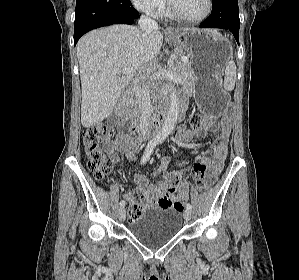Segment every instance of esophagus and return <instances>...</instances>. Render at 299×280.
<instances>
[{
    "label": "esophagus",
    "instance_id": "1",
    "mask_svg": "<svg viewBox=\"0 0 299 280\" xmlns=\"http://www.w3.org/2000/svg\"><path fill=\"white\" fill-rule=\"evenodd\" d=\"M165 32L166 33H175L176 30L171 26H167L166 29H165Z\"/></svg>",
    "mask_w": 299,
    "mask_h": 280
}]
</instances>
